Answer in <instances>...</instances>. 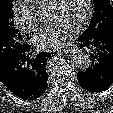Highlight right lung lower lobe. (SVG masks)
<instances>
[{"instance_id":"1","label":"right lung lower lobe","mask_w":113,"mask_h":113,"mask_svg":"<svg viewBox=\"0 0 113 113\" xmlns=\"http://www.w3.org/2000/svg\"><path fill=\"white\" fill-rule=\"evenodd\" d=\"M50 53L41 52L31 57L30 45L14 55L0 69V79L16 96L23 100L40 97L47 87L46 62Z\"/></svg>"}]
</instances>
